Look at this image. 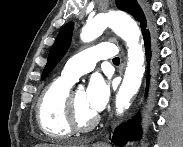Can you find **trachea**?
<instances>
[{
	"label": "trachea",
	"mask_w": 183,
	"mask_h": 147,
	"mask_svg": "<svg viewBox=\"0 0 183 147\" xmlns=\"http://www.w3.org/2000/svg\"><path fill=\"white\" fill-rule=\"evenodd\" d=\"M113 62L115 63H119L120 62V58L119 57H115L114 59H113Z\"/></svg>",
	"instance_id": "1"
}]
</instances>
